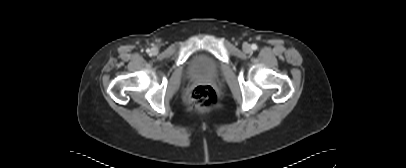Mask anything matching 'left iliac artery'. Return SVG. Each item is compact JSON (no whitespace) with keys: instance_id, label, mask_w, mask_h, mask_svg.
Masks as SVG:
<instances>
[{"instance_id":"left-iliac-artery-1","label":"left iliac artery","mask_w":406,"mask_h":168,"mask_svg":"<svg viewBox=\"0 0 406 168\" xmlns=\"http://www.w3.org/2000/svg\"><path fill=\"white\" fill-rule=\"evenodd\" d=\"M252 49H253V50H256V49H257V45L253 44V45H252Z\"/></svg>"}]
</instances>
